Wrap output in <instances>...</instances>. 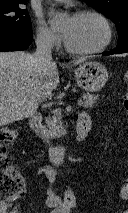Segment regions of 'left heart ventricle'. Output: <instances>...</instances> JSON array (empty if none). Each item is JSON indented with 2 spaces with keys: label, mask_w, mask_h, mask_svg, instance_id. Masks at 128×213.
Returning <instances> with one entry per match:
<instances>
[{
  "label": "left heart ventricle",
  "mask_w": 128,
  "mask_h": 213,
  "mask_svg": "<svg viewBox=\"0 0 128 213\" xmlns=\"http://www.w3.org/2000/svg\"><path fill=\"white\" fill-rule=\"evenodd\" d=\"M65 39L76 49H93L105 40L103 23L94 16L68 19L62 27Z\"/></svg>",
  "instance_id": "obj_1"
}]
</instances>
